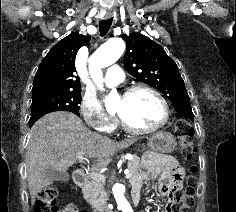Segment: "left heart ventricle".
<instances>
[{
  "label": "left heart ventricle",
  "instance_id": "b2bd125f",
  "mask_svg": "<svg viewBox=\"0 0 236 212\" xmlns=\"http://www.w3.org/2000/svg\"><path fill=\"white\" fill-rule=\"evenodd\" d=\"M115 110L136 128L153 127L163 118V107L160 101L153 94L144 90L119 97Z\"/></svg>",
  "mask_w": 236,
  "mask_h": 212
}]
</instances>
